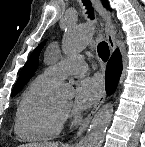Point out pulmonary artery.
Segmentation results:
<instances>
[{"instance_id": "obj_1", "label": "pulmonary artery", "mask_w": 145, "mask_h": 147, "mask_svg": "<svg viewBox=\"0 0 145 147\" xmlns=\"http://www.w3.org/2000/svg\"><path fill=\"white\" fill-rule=\"evenodd\" d=\"M87 69L88 65L82 56L72 55L51 64L44 70L43 74L54 81H58L68 75L81 73Z\"/></svg>"}]
</instances>
